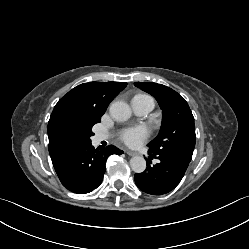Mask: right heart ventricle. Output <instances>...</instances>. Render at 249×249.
<instances>
[{
	"mask_svg": "<svg viewBox=\"0 0 249 249\" xmlns=\"http://www.w3.org/2000/svg\"><path fill=\"white\" fill-rule=\"evenodd\" d=\"M143 96H148V95L139 94V95H136L135 97H143ZM135 97H134V98H135Z\"/></svg>",
	"mask_w": 249,
	"mask_h": 249,
	"instance_id": "e07e8e85",
	"label": "right heart ventricle"
}]
</instances>
